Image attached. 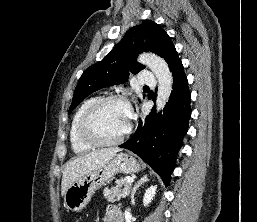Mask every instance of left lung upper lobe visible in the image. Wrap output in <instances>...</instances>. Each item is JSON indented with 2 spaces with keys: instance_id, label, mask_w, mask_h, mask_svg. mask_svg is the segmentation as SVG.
Here are the masks:
<instances>
[{
  "instance_id": "left-lung-upper-lobe-1",
  "label": "left lung upper lobe",
  "mask_w": 257,
  "mask_h": 222,
  "mask_svg": "<svg viewBox=\"0 0 257 222\" xmlns=\"http://www.w3.org/2000/svg\"><path fill=\"white\" fill-rule=\"evenodd\" d=\"M143 51H151L164 58L169 67L179 59L168 34L155 22L145 20L132 27L102 61L83 72L74 91L69 114L91 93L124 83L129 72L136 74L144 69L145 66L136 62L137 55Z\"/></svg>"
}]
</instances>
